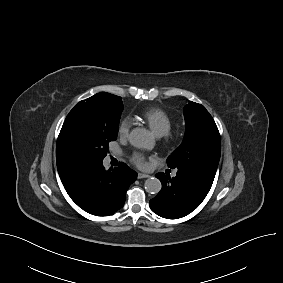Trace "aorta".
I'll return each mask as SVG.
<instances>
[{"mask_svg":"<svg viewBox=\"0 0 283 283\" xmlns=\"http://www.w3.org/2000/svg\"><path fill=\"white\" fill-rule=\"evenodd\" d=\"M130 143L136 148L151 149L154 145V138L144 128H134L129 136ZM145 190L150 194H157L161 190V182L155 177H150L145 181Z\"/></svg>","mask_w":283,"mask_h":283,"instance_id":"aorta-1","label":"aorta"}]
</instances>
